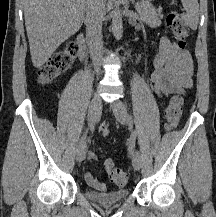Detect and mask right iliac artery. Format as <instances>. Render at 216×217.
<instances>
[{
	"instance_id": "obj_1",
	"label": "right iliac artery",
	"mask_w": 216,
	"mask_h": 217,
	"mask_svg": "<svg viewBox=\"0 0 216 217\" xmlns=\"http://www.w3.org/2000/svg\"><path fill=\"white\" fill-rule=\"evenodd\" d=\"M90 125V128H93V125H94V123H91V124H89ZM86 133H87V131L83 134V136H82V138H81V140H83L84 139V136L86 135Z\"/></svg>"
}]
</instances>
